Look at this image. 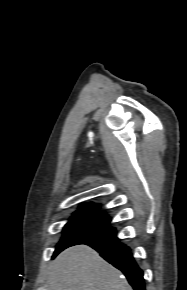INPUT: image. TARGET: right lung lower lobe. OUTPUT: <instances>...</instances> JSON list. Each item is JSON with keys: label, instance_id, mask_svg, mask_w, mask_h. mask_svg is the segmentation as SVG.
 <instances>
[{"label": "right lung lower lobe", "instance_id": "right-lung-lower-lobe-1", "mask_svg": "<svg viewBox=\"0 0 187 290\" xmlns=\"http://www.w3.org/2000/svg\"><path fill=\"white\" fill-rule=\"evenodd\" d=\"M97 250L100 255L126 276L134 290H145L143 271L136 264L130 248L119 242L116 234L83 242Z\"/></svg>", "mask_w": 187, "mask_h": 290}]
</instances>
